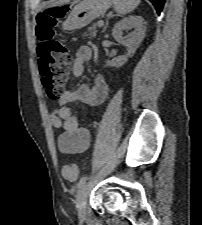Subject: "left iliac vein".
<instances>
[{
  "mask_svg": "<svg viewBox=\"0 0 202 225\" xmlns=\"http://www.w3.org/2000/svg\"><path fill=\"white\" fill-rule=\"evenodd\" d=\"M89 183L84 184L77 195V202L76 207L78 211V215L81 219H84L86 215V205H87V198L89 192Z\"/></svg>",
  "mask_w": 202,
  "mask_h": 225,
  "instance_id": "4c4485c4",
  "label": "left iliac vein"
}]
</instances>
